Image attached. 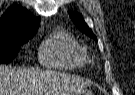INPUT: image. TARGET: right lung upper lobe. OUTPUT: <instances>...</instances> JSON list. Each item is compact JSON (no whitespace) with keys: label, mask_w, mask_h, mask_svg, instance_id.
Instances as JSON below:
<instances>
[{"label":"right lung upper lobe","mask_w":135,"mask_h":95,"mask_svg":"<svg viewBox=\"0 0 135 95\" xmlns=\"http://www.w3.org/2000/svg\"><path fill=\"white\" fill-rule=\"evenodd\" d=\"M40 19L34 17L25 8L12 6L0 19V35L12 32H36Z\"/></svg>","instance_id":"cb5924a9"}]
</instances>
